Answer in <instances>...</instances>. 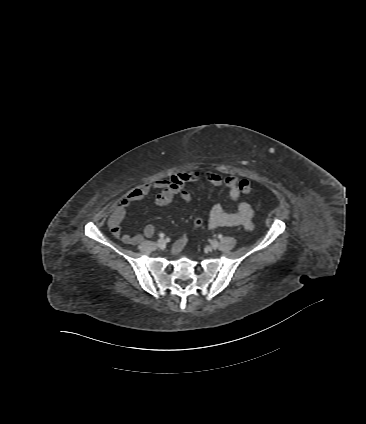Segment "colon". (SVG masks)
I'll list each match as a JSON object with an SVG mask.
<instances>
[{"label": "colon", "mask_w": 366, "mask_h": 424, "mask_svg": "<svg viewBox=\"0 0 366 424\" xmlns=\"http://www.w3.org/2000/svg\"><path fill=\"white\" fill-rule=\"evenodd\" d=\"M240 189L244 194H249L253 190V186L246 180L240 181ZM202 224V219L198 218L195 220L194 225L195 227H199Z\"/></svg>", "instance_id": "colon-1"}]
</instances>
